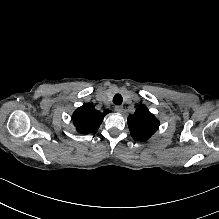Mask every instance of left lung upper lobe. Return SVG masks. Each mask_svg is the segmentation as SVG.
Wrapping results in <instances>:
<instances>
[{"instance_id": "5c2ea615", "label": "left lung upper lobe", "mask_w": 219, "mask_h": 219, "mask_svg": "<svg viewBox=\"0 0 219 219\" xmlns=\"http://www.w3.org/2000/svg\"><path fill=\"white\" fill-rule=\"evenodd\" d=\"M128 126L134 139L146 141L157 131L159 121L146 106H140L128 117Z\"/></svg>"}]
</instances>
